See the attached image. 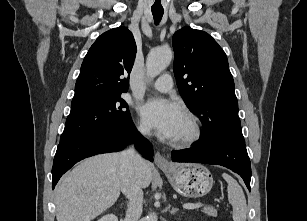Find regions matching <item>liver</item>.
<instances>
[{
  "mask_svg": "<svg viewBox=\"0 0 307 221\" xmlns=\"http://www.w3.org/2000/svg\"><path fill=\"white\" fill-rule=\"evenodd\" d=\"M153 165L145 161L138 172L142 188L152 180ZM124 174L122 153L88 158L66 174L55 189L57 221H91L118 199Z\"/></svg>",
  "mask_w": 307,
  "mask_h": 221,
  "instance_id": "obj_1",
  "label": "liver"
}]
</instances>
